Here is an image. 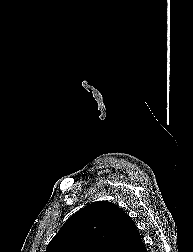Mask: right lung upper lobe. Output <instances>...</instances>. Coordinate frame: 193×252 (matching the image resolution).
<instances>
[{"instance_id": "1", "label": "right lung upper lobe", "mask_w": 193, "mask_h": 252, "mask_svg": "<svg viewBox=\"0 0 193 252\" xmlns=\"http://www.w3.org/2000/svg\"><path fill=\"white\" fill-rule=\"evenodd\" d=\"M133 220L117 205H86L60 228L46 252H132L141 242Z\"/></svg>"}]
</instances>
